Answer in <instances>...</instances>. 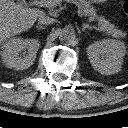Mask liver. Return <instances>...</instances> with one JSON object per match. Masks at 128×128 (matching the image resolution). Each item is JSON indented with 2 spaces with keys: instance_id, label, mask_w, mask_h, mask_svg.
I'll return each mask as SVG.
<instances>
[{
  "instance_id": "6515ba94",
  "label": "liver",
  "mask_w": 128,
  "mask_h": 128,
  "mask_svg": "<svg viewBox=\"0 0 128 128\" xmlns=\"http://www.w3.org/2000/svg\"><path fill=\"white\" fill-rule=\"evenodd\" d=\"M43 11L29 8L14 0H0V45L10 36L31 28Z\"/></svg>"
}]
</instances>
